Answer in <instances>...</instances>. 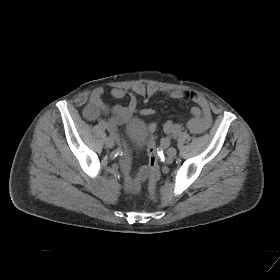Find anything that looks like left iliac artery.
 Returning a JSON list of instances; mask_svg holds the SVG:
<instances>
[{
	"instance_id": "44dca946",
	"label": "left iliac artery",
	"mask_w": 280,
	"mask_h": 280,
	"mask_svg": "<svg viewBox=\"0 0 280 280\" xmlns=\"http://www.w3.org/2000/svg\"><path fill=\"white\" fill-rule=\"evenodd\" d=\"M181 132H182V126L181 125H179V124L172 125L171 135L173 137H175V138L178 137L181 134Z\"/></svg>"
}]
</instances>
